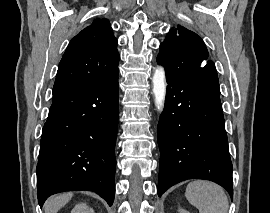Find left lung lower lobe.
<instances>
[{
    "label": "left lung lower lobe",
    "instance_id": "left-lung-lower-lobe-1",
    "mask_svg": "<svg viewBox=\"0 0 270 213\" xmlns=\"http://www.w3.org/2000/svg\"><path fill=\"white\" fill-rule=\"evenodd\" d=\"M167 80L165 108L158 124V195L187 179L210 180L233 197L219 86L200 77Z\"/></svg>",
    "mask_w": 270,
    "mask_h": 213
}]
</instances>
